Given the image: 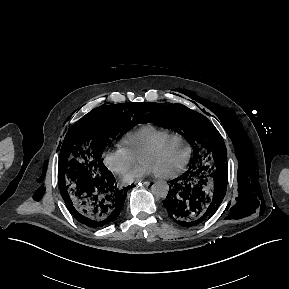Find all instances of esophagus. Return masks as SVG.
Here are the masks:
<instances>
[{"label": "esophagus", "instance_id": "1", "mask_svg": "<svg viewBox=\"0 0 289 289\" xmlns=\"http://www.w3.org/2000/svg\"><path fill=\"white\" fill-rule=\"evenodd\" d=\"M143 185V186H149L150 185V182L149 181H140L139 183H138V185Z\"/></svg>", "mask_w": 289, "mask_h": 289}]
</instances>
